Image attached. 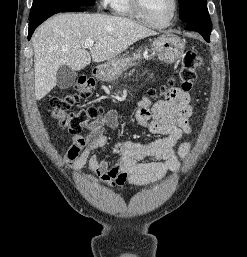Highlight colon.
Instances as JSON below:
<instances>
[{
	"instance_id": "obj_1",
	"label": "colon",
	"mask_w": 247,
	"mask_h": 257,
	"mask_svg": "<svg viewBox=\"0 0 247 257\" xmlns=\"http://www.w3.org/2000/svg\"><path fill=\"white\" fill-rule=\"evenodd\" d=\"M200 66V58L194 51H187L179 72L181 89L189 92L193 88L195 73ZM173 83V81H171ZM94 82L88 78H80L75 84V92L54 96L50 100L52 116L58 124L71 133H78L88 128L99 116L105 113L103 107L89 106L73 110L80 100L93 96Z\"/></svg>"
}]
</instances>
